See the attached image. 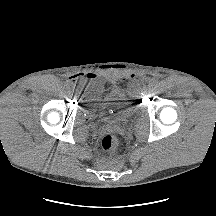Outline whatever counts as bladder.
I'll return each mask as SVG.
<instances>
[{
  "instance_id": "31cf9c89",
  "label": "bladder",
  "mask_w": 216,
  "mask_h": 216,
  "mask_svg": "<svg viewBox=\"0 0 216 216\" xmlns=\"http://www.w3.org/2000/svg\"><path fill=\"white\" fill-rule=\"evenodd\" d=\"M83 94L86 99L82 104V111L90 119L116 123L131 117L137 111V106L121 90L100 88L94 91L89 87Z\"/></svg>"
}]
</instances>
